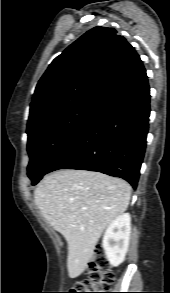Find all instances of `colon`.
<instances>
[{"mask_svg": "<svg viewBox=\"0 0 170 293\" xmlns=\"http://www.w3.org/2000/svg\"><path fill=\"white\" fill-rule=\"evenodd\" d=\"M87 279L78 281L71 293H105L103 291L114 281V274L108 268L104 250L98 246L94 249L86 269Z\"/></svg>", "mask_w": 170, "mask_h": 293, "instance_id": "1", "label": "colon"}]
</instances>
